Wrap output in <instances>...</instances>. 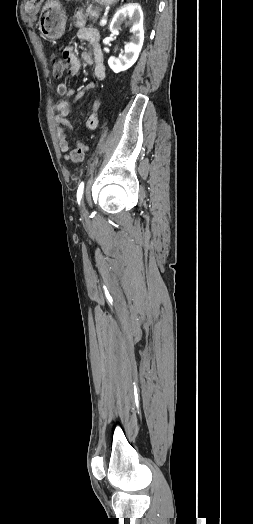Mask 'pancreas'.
<instances>
[{"label": "pancreas", "mask_w": 253, "mask_h": 524, "mask_svg": "<svg viewBox=\"0 0 253 524\" xmlns=\"http://www.w3.org/2000/svg\"><path fill=\"white\" fill-rule=\"evenodd\" d=\"M100 11L101 9L99 7H95L93 8L91 5H87V9H86V13L85 15H83V9H79L77 12H76V17H90L94 20V22L98 19L99 15H100Z\"/></svg>", "instance_id": "cf45deb5"}]
</instances>
